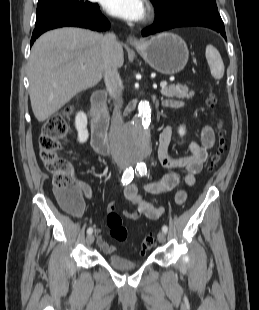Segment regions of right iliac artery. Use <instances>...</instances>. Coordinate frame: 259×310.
<instances>
[{
    "instance_id": "1",
    "label": "right iliac artery",
    "mask_w": 259,
    "mask_h": 310,
    "mask_svg": "<svg viewBox=\"0 0 259 310\" xmlns=\"http://www.w3.org/2000/svg\"><path fill=\"white\" fill-rule=\"evenodd\" d=\"M133 178H134V170L132 167H130L124 171L121 182L123 185H125V184L130 183ZM92 232H93V229L88 228L87 233L91 234Z\"/></svg>"
}]
</instances>
